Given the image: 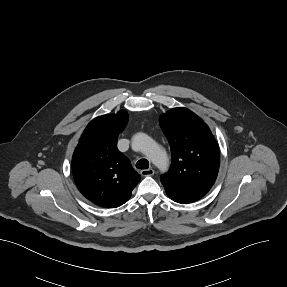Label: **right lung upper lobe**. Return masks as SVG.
Wrapping results in <instances>:
<instances>
[{"instance_id":"1","label":"right lung upper lobe","mask_w":287,"mask_h":287,"mask_svg":"<svg viewBox=\"0 0 287 287\" xmlns=\"http://www.w3.org/2000/svg\"><path fill=\"white\" fill-rule=\"evenodd\" d=\"M128 121L126 111L103 115L84 130L72 157V172L82 195L101 207L116 208L128 201L140 175L117 148Z\"/></svg>"}]
</instances>
